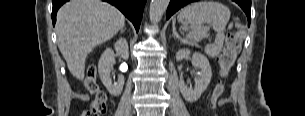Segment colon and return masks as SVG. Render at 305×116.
<instances>
[{"instance_id": "colon-1", "label": "colon", "mask_w": 305, "mask_h": 116, "mask_svg": "<svg viewBox=\"0 0 305 116\" xmlns=\"http://www.w3.org/2000/svg\"><path fill=\"white\" fill-rule=\"evenodd\" d=\"M240 49V39L236 32L230 31L227 34L226 41L221 54L218 57L220 71L222 76H226L233 67ZM85 86L93 95V101L89 109L85 110L81 116H101L107 111V96L101 90L97 81V69L94 66L89 67L85 78ZM224 92V85L219 82L215 85L211 95V105L216 107L218 99Z\"/></svg>"}]
</instances>
